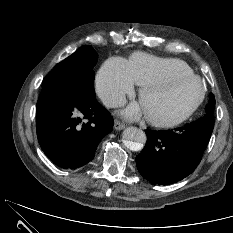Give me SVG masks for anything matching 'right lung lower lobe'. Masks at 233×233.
<instances>
[{
	"label": "right lung lower lobe",
	"instance_id": "98d812e1",
	"mask_svg": "<svg viewBox=\"0 0 233 233\" xmlns=\"http://www.w3.org/2000/svg\"><path fill=\"white\" fill-rule=\"evenodd\" d=\"M36 118L42 150L56 165L70 169L91 161L113 127L112 116L95 93L58 86L42 87Z\"/></svg>",
	"mask_w": 233,
	"mask_h": 233
}]
</instances>
